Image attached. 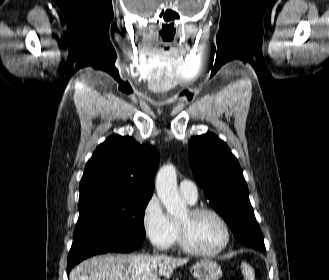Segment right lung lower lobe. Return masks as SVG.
Segmentation results:
<instances>
[{"instance_id":"right-lung-lower-lobe-1","label":"right lung lower lobe","mask_w":329,"mask_h":280,"mask_svg":"<svg viewBox=\"0 0 329 280\" xmlns=\"http://www.w3.org/2000/svg\"><path fill=\"white\" fill-rule=\"evenodd\" d=\"M133 250L135 249L114 245V244L102 243V244L94 245L92 247H89L87 250L82 251L71 262L67 263V275H69V272L76 264L93 255L107 253V252L127 253V252H132Z\"/></svg>"}]
</instances>
